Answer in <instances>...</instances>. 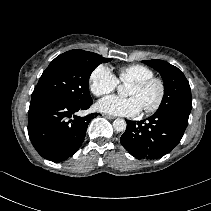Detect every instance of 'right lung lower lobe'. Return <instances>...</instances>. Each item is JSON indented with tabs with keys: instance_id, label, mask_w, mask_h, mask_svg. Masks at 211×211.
Segmentation results:
<instances>
[{
	"instance_id": "98d812e1",
	"label": "right lung lower lobe",
	"mask_w": 211,
	"mask_h": 211,
	"mask_svg": "<svg viewBox=\"0 0 211 211\" xmlns=\"http://www.w3.org/2000/svg\"><path fill=\"white\" fill-rule=\"evenodd\" d=\"M92 101L74 105L55 99H31L28 111V134L36 151L55 163L71 157L81 146L88 124L94 115H76L88 109Z\"/></svg>"
}]
</instances>
